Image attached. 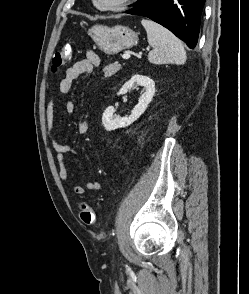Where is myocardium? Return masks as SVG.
<instances>
[{"label": "myocardium", "instance_id": "myocardium-1", "mask_svg": "<svg viewBox=\"0 0 249 294\" xmlns=\"http://www.w3.org/2000/svg\"><path fill=\"white\" fill-rule=\"evenodd\" d=\"M94 5L102 11L119 12L127 9L136 0H121L119 3L114 5H103L98 0H92Z\"/></svg>", "mask_w": 249, "mask_h": 294}]
</instances>
